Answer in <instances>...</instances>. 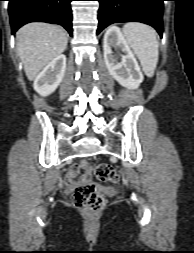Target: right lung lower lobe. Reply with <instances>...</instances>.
I'll list each match as a JSON object with an SVG mask.
<instances>
[{"mask_svg": "<svg viewBox=\"0 0 194 253\" xmlns=\"http://www.w3.org/2000/svg\"><path fill=\"white\" fill-rule=\"evenodd\" d=\"M12 33L29 22L62 25L72 35V0H8Z\"/></svg>", "mask_w": 194, "mask_h": 253, "instance_id": "obj_1", "label": "right lung lower lobe"}]
</instances>
